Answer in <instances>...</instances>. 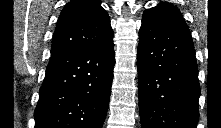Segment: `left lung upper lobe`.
I'll use <instances>...</instances> for the list:
<instances>
[{
  "mask_svg": "<svg viewBox=\"0 0 221 128\" xmlns=\"http://www.w3.org/2000/svg\"><path fill=\"white\" fill-rule=\"evenodd\" d=\"M143 18H155L174 28L191 34L180 11L168 3H161L156 7L145 10Z\"/></svg>",
  "mask_w": 221,
  "mask_h": 128,
  "instance_id": "1",
  "label": "left lung upper lobe"
}]
</instances>
